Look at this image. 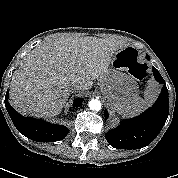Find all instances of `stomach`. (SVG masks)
<instances>
[{"label":"stomach","mask_w":178,"mask_h":178,"mask_svg":"<svg viewBox=\"0 0 178 178\" xmlns=\"http://www.w3.org/2000/svg\"><path fill=\"white\" fill-rule=\"evenodd\" d=\"M127 48H119L112 56L110 65L98 80V86L104 98L114 106L127 102L138 95V85L128 72L132 58Z\"/></svg>","instance_id":"obj_1"}]
</instances>
